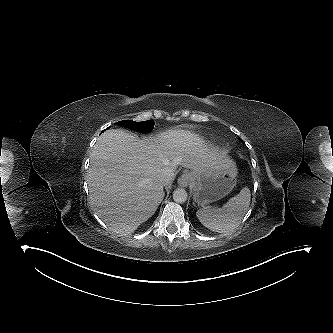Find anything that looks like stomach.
Masks as SVG:
<instances>
[{
    "instance_id": "0dacf381",
    "label": "stomach",
    "mask_w": 333,
    "mask_h": 333,
    "mask_svg": "<svg viewBox=\"0 0 333 333\" xmlns=\"http://www.w3.org/2000/svg\"><path fill=\"white\" fill-rule=\"evenodd\" d=\"M190 189L198 205H207L225 197L236 185L237 171L230 167L217 166L203 172H191Z\"/></svg>"
}]
</instances>
